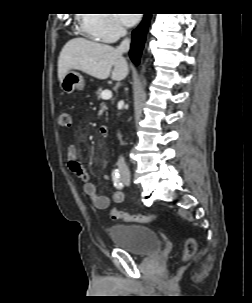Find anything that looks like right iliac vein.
I'll return each instance as SVG.
<instances>
[{"label": "right iliac vein", "mask_w": 252, "mask_h": 303, "mask_svg": "<svg viewBox=\"0 0 252 303\" xmlns=\"http://www.w3.org/2000/svg\"><path fill=\"white\" fill-rule=\"evenodd\" d=\"M123 178H124L125 180H130V179H131V177H130V175H129V174H125V175H123Z\"/></svg>", "instance_id": "right-iliac-vein-1"}]
</instances>
